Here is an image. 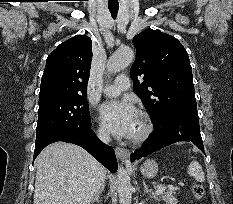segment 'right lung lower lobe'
I'll return each instance as SVG.
<instances>
[{
	"label": "right lung lower lobe",
	"instance_id": "obj_1",
	"mask_svg": "<svg viewBox=\"0 0 233 204\" xmlns=\"http://www.w3.org/2000/svg\"><path fill=\"white\" fill-rule=\"evenodd\" d=\"M63 141L81 146L88 151L95 159L104 165L109 171H117V161L111 146L103 144L88 128H79L57 134L53 137L35 143L34 159L49 144Z\"/></svg>",
	"mask_w": 233,
	"mask_h": 204
}]
</instances>
